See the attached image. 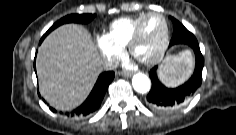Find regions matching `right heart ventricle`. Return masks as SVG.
<instances>
[{
    "label": "right heart ventricle",
    "mask_w": 236,
    "mask_h": 135,
    "mask_svg": "<svg viewBox=\"0 0 236 135\" xmlns=\"http://www.w3.org/2000/svg\"><path fill=\"white\" fill-rule=\"evenodd\" d=\"M144 15L145 13H141L136 16L123 17L114 20L109 25L106 36L116 46L124 48L127 46L137 23Z\"/></svg>",
    "instance_id": "obj_1"
}]
</instances>
